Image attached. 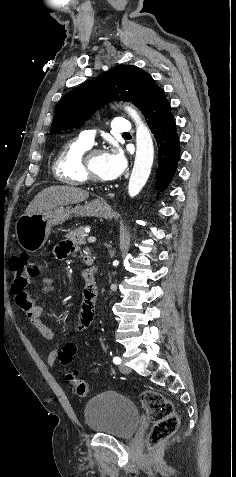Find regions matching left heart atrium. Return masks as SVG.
Instances as JSON below:
<instances>
[{
  "label": "left heart atrium",
  "mask_w": 236,
  "mask_h": 477,
  "mask_svg": "<svg viewBox=\"0 0 236 477\" xmlns=\"http://www.w3.org/2000/svg\"><path fill=\"white\" fill-rule=\"evenodd\" d=\"M104 165L107 177L114 179L123 172L126 161L118 149H111L104 154Z\"/></svg>",
  "instance_id": "left-heart-atrium-1"
}]
</instances>
